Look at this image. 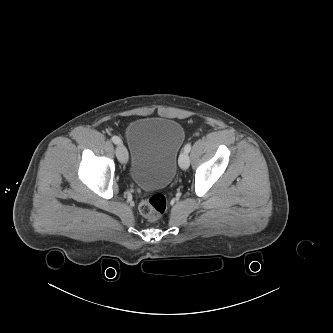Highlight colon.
<instances>
[{
	"label": "colon",
	"instance_id": "colon-1",
	"mask_svg": "<svg viewBox=\"0 0 333 333\" xmlns=\"http://www.w3.org/2000/svg\"><path fill=\"white\" fill-rule=\"evenodd\" d=\"M167 209V199L163 194H154L141 201L139 211L150 222L159 220Z\"/></svg>",
	"mask_w": 333,
	"mask_h": 333
}]
</instances>
